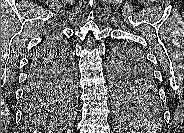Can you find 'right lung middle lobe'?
Masks as SVG:
<instances>
[{
    "label": "right lung middle lobe",
    "instance_id": "obj_1",
    "mask_svg": "<svg viewBox=\"0 0 184 133\" xmlns=\"http://www.w3.org/2000/svg\"><path fill=\"white\" fill-rule=\"evenodd\" d=\"M55 44L62 47L60 50L61 70L59 78L55 82V86L49 91L45 99H24V110L28 117L41 115L48 110L58 109L74 105V90H75V66L72 61V56H69L70 50L62 40L55 37Z\"/></svg>",
    "mask_w": 184,
    "mask_h": 133
}]
</instances>
